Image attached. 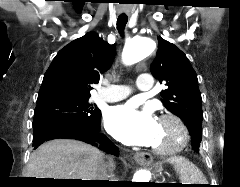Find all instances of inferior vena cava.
<instances>
[{
    "label": "inferior vena cava",
    "mask_w": 240,
    "mask_h": 187,
    "mask_svg": "<svg viewBox=\"0 0 240 187\" xmlns=\"http://www.w3.org/2000/svg\"><path fill=\"white\" fill-rule=\"evenodd\" d=\"M97 180H107L108 179V173H107V166L103 164L98 172Z\"/></svg>",
    "instance_id": "inferior-vena-cava-1"
}]
</instances>
